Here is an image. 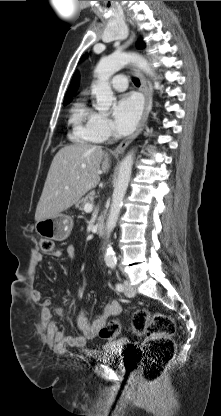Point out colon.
<instances>
[{
    "label": "colon",
    "instance_id": "obj_1",
    "mask_svg": "<svg viewBox=\"0 0 221 416\" xmlns=\"http://www.w3.org/2000/svg\"><path fill=\"white\" fill-rule=\"evenodd\" d=\"M40 246L44 253L55 251L53 240L42 239ZM129 330L135 335L146 336L140 358L141 375L148 382H156L175 354L176 344L173 336L176 333V324L174 320L161 312L139 309L130 319ZM121 331V323L117 319H112L100 328L99 335L113 340Z\"/></svg>",
    "mask_w": 221,
    "mask_h": 416
}]
</instances>
